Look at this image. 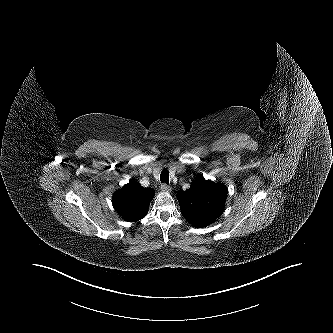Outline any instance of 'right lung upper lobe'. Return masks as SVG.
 <instances>
[{"label": "right lung upper lobe", "instance_id": "obj_1", "mask_svg": "<svg viewBox=\"0 0 333 333\" xmlns=\"http://www.w3.org/2000/svg\"><path fill=\"white\" fill-rule=\"evenodd\" d=\"M153 196L152 188L131 181L114 193L112 203L125 220L135 222L146 216Z\"/></svg>", "mask_w": 333, "mask_h": 333}]
</instances>
